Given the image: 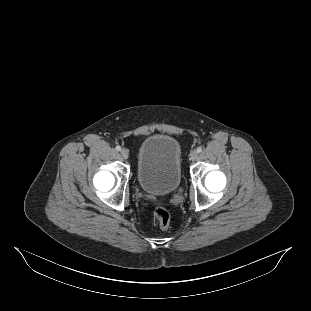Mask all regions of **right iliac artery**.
Instances as JSON below:
<instances>
[{
  "label": "right iliac artery",
  "instance_id": "82829eb1",
  "mask_svg": "<svg viewBox=\"0 0 311 311\" xmlns=\"http://www.w3.org/2000/svg\"><path fill=\"white\" fill-rule=\"evenodd\" d=\"M116 150H117V151H120V150H121V147H120V146H116Z\"/></svg>",
  "mask_w": 311,
  "mask_h": 311
}]
</instances>
